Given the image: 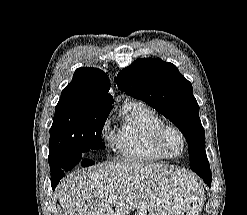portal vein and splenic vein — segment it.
Instances as JSON below:
<instances>
[{
    "label": "portal vein and splenic vein",
    "mask_w": 247,
    "mask_h": 215,
    "mask_svg": "<svg viewBox=\"0 0 247 215\" xmlns=\"http://www.w3.org/2000/svg\"><path fill=\"white\" fill-rule=\"evenodd\" d=\"M116 197L115 196H113V195H111L110 197H109V200H113V199H115Z\"/></svg>",
    "instance_id": "1"
}]
</instances>
